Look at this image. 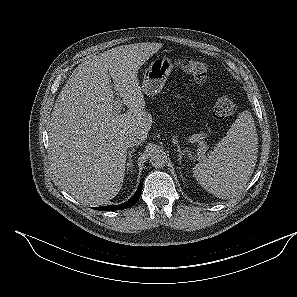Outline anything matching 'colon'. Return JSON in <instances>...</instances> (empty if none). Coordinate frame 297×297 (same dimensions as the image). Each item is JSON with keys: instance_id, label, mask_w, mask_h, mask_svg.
<instances>
[{"instance_id": "5ec220e1", "label": "colon", "mask_w": 297, "mask_h": 297, "mask_svg": "<svg viewBox=\"0 0 297 297\" xmlns=\"http://www.w3.org/2000/svg\"><path fill=\"white\" fill-rule=\"evenodd\" d=\"M177 64L181 70L198 82H203L207 78L208 66L205 62L192 58H179ZM236 110L234 100L226 94L220 95L214 104L213 115L216 119H225Z\"/></svg>"}]
</instances>
